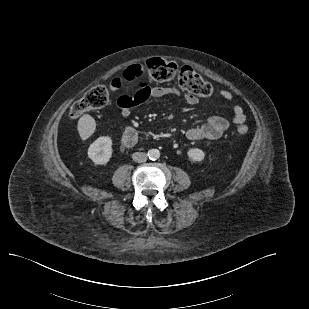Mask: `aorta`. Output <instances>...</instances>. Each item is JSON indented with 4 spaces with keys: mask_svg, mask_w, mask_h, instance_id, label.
Segmentation results:
<instances>
[{
    "mask_svg": "<svg viewBox=\"0 0 309 309\" xmlns=\"http://www.w3.org/2000/svg\"><path fill=\"white\" fill-rule=\"evenodd\" d=\"M148 157L151 160H157L160 158V151L158 149H150L148 151Z\"/></svg>",
    "mask_w": 309,
    "mask_h": 309,
    "instance_id": "762f6f07",
    "label": "aorta"
}]
</instances>
